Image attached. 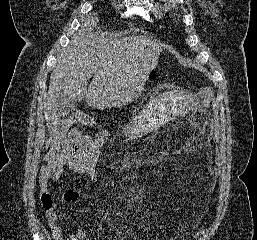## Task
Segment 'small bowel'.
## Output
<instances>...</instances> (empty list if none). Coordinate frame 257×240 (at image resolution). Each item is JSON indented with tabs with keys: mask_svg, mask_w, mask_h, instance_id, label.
Instances as JSON below:
<instances>
[{
	"mask_svg": "<svg viewBox=\"0 0 257 240\" xmlns=\"http://www.w3.org/2000/svg\"><path fill=\"white\" fill-rule=\"evenodd\" d=\"M108 137L109 133L104 129L99 130L94 138L74 128L68 130L54 129L45 143V164L39 173V186L42 195L50 194L51 186L63 181L66 174L88 176L91 181H95L98 159ZM80 196L79 190L68 189L63 192L59 201L72 204L77 202ZM46 217L54 240H95L83 229L64 237L54 211L47 210ZM116 234L120 240H132V232L126 226H118Z\"/></svg>",
	"mask_w": 257,
	"mask_h": 240,
	"instance_id": "1",
	"label": "small bowel"
}]
</instances>
